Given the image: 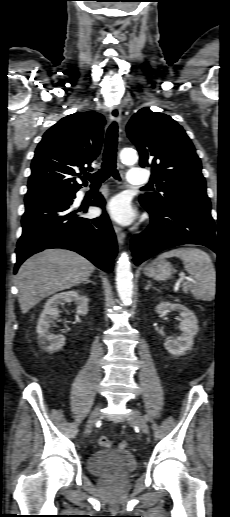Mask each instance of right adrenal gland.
Returning <instances> with one entry per match:
<instances>
[{"label":"right adrenal gland","mask_w":230,"mask_h":517,"mask_svg":"<svg viewBox=\"0 0 230 517\" xmlns=\"http://www.w3.org/2000/svg\"><path fill=\"white\" fill-rule=\"evenodd\" d=\"M89 282H90V283H92L93 285H96V283H95L94 281H91L90 279H87V280H86L85 282H83V283H84V284H86V283H89Z\"/></svg>","instance_id":"right-adrenal-gland-1"}]
</instances>
